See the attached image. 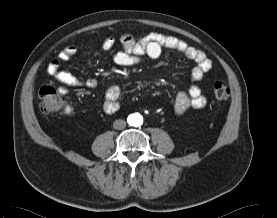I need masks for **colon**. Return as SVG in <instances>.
Listing matches in <instances>:
<instances>
[{"label": "colon", "mask_w": 277, "mask_h": 218, "mask_svg": "<svg viewBox=\"0 0 277 218\" xmlns=\"http://www.w3.org/2000/svg\"><path fill=\"white\" fill-rule=\"evenodd\" d=\"M216 95L226 99L230 95V88L224 83L216 82L214 85ZM41 110L44 113H55L58 110L59 97L56 90L51 86H45L40 90Z\"/></svg>", "instance_id": "1"}]
</instances>
